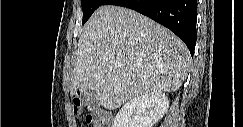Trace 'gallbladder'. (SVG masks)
Listing matches in <instances>:
<instances>
[{
    "label": "gallbladder",
    "instance_id": "1",
    "mask_svg": "<svg viewBox=\"0 0 243 127\" xmlns=\"http://www.w3.org/2000/svg\"><path fill=\"white\" fill-rule=\"evenodd\" d=\"M92 93H93V94H95L96 92H95V91H93Z\"/></svg>",
    "mask_w": 243,
    "mask_h": 127
}]
</instances>
